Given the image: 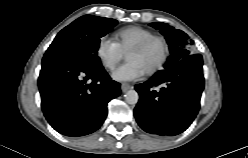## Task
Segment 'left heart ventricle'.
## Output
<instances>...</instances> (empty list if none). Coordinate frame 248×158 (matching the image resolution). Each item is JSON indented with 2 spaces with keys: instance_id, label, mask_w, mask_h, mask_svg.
<instances>
[{
  "instance_id": "b2bd125f",
  "label": "left heart ventricle",
  "mask_w": 248,
  "mask_h": 158,
  "mask_svg": "<svg viewBox=\"0 0 248 158\" xmlns=\"http://www.w3.org/2000/svg\"><path fill=\"white\" fill-rule=\"evenodd\" d=\"M161 53V45L158 42H153L142 51L129 53L127 60L139 63L145 71H148L159 61Z\"/></svg>"
}]
</instances>
